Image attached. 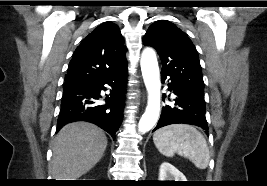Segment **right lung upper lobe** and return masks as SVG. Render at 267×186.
<instances>
[{"label":"right lung upper lobe","instance_id":"cb5924a9","mask_svg":"<svg viewBox=\"0 0 267 186\" xmlns=\"http://www.w3.org/2000/svg\"><path fill=\"white\" fill-rule=\"evenodd\" d=\"M127 65L126 47L118 26L105 22L76 48L65 83L103 76Z\"/></svg>","mask_w":267,"mask_h":186}]
</instances>
